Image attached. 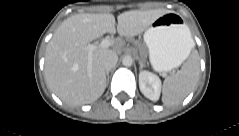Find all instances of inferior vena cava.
Here are the masks:
<instances>
[{
  "instance_id": "inferior-vena-cava-1",
  "label": "inferior vena cava",
  "mask_w": 239,
  "mask_h": 136,
  "mask_svg": "<svg viewBox=\"0 0 239 136\" xmlns=\"http://www.w3.org/2000/svg\"><path fill=\"white\" fill-rule=\"evenodd\" d=\"M118 61V56L115 52H108L100 57V62L105 70L113 68Z\"/></svg>"
}]
</instances>
